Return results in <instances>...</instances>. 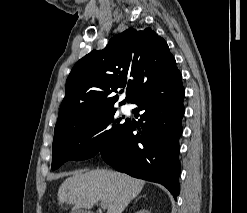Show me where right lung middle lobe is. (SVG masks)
Wrapping results in <instances>:
<instances>
[{"mask_svg": "<svg viewBox=\"0 0 247 213\" xmlns=\"http://www.w3.org/2000/svg\"><path fill=\"white\" fill-rule=\"evenodd\" d=\"M116 109L102 112L90 122L54 136L52 169L68 160H84L112 149L126 124L116 119Z\"/></svg>", "mask_w": 247, "mask_h": 213, "instance_id": "dd1d6c3e", "label": "right lung middle lobe"}]
</instances>
